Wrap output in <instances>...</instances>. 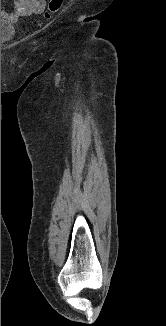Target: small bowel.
Listing matches in <instances>:
<instances>
[{
  "mask_svg": "<svg viewBox=\"0 0 166 326\" xmlns=\"http://www.w3.org/2000/svg\"><path fill=\"white\" fill-rule=\"evenodd\" d=\"M13 6L12 12L1 11V18L16 21L30 14H40L46 8V0H13Z\"/></svg>",
  "mask_w": 166,
  "mask_h": 326,
  "instance_id": "c3829d8e",
  "label": "small bowel"
}]
</instances>
